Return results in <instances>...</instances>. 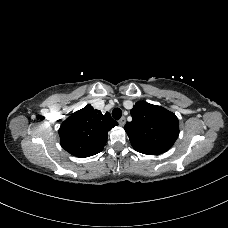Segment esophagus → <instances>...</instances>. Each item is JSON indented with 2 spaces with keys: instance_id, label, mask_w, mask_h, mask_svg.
Returning a JSON list of instances; mask_svg holds the SVG:
<instances>
[{
  "instance_id": "34e87169",
  "label": "esophagus",
  "mask_w": 228,
  "mask_h": 228,
  "mask_svg": "<svg viewBox=\"0 0 228 228\" xmlns=\"http://www.w3.org/2000/svg\"><path fill=\"white\" fill-rule=\"evenodd\" d=\"M118 123H119L120 126H124L125 123H126V118H125V117L120 118V119L118 120Z\"/></svg>"
}]
</instances>
